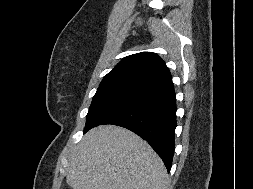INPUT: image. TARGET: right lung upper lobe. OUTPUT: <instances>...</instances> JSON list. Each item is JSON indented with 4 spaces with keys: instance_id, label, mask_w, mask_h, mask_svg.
<instances>
[{
    "instance_id": "1",
    "label": "right lung upper lobe",
    "mask_w": 253,
    "mask_h": 189,
    "mask_svg": "<svg viewBox=\"0 0 253 189\" xmlns=\"http://www.w3.org/2000/svg\"><path fill=\"white\" fill-rule=\"evenodd\" d=\"M170 84L172 76L165 62L155 53L141 52L123 58L99 88L130 87L150 92Z\"/></svg>"
}]
</instances>
